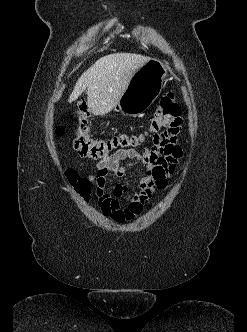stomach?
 <instances>
[{
	"mask_svg": "<svg viewBox=\"0 0 247 332\" xmlns=\"http://www.w3.org/2000/svg\"><path fill=\"white\" fill-rule=\"evenodd\" d=\"M167 75V65L149 59L135 71L114 109L126 116H141L160 95Z\"/></svg>",
	"mask_w": 247,
	"mask_h": 332,
	"instance_id": "stomach-1",
	"label": "stomach"
}]
</instances>
